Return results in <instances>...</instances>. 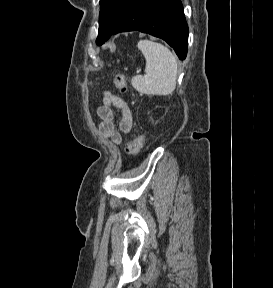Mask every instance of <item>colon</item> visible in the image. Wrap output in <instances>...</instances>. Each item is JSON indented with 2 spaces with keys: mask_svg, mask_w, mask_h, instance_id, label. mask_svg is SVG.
<instances>
[{
  "mask_svg": "<svg viewBox=\"0 0 273 288\" xmlns=\"http://www.w3.org/2000/svg\"><path fill=\"white\" fill-rule=\"evenodd\" d=\"M114 84L115 86L121 90L124 91L126 88V80L125 76L121 73L116 74L114 78ZM145 143V137L142 134L134 136L132 139L127 141L125 144V151L129 156H135L140 152L142 147Z\"/></svg>",
  "mask_w": 273,
  "mask_h": 288,
  "instance_id": "obj_1",
  "label": "colon"
}]
</instances>
